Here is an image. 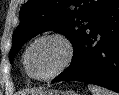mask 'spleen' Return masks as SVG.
I'll list each match as a JSON object with an SVG mask.
<instances>
[{"label":"spleen","mask_w":119,"mask_h":95,"mask_svg":"<svg viewBox=\"0 0 119 95\" xmlns=\"http://www.w3.org/2000/svg\"><path fill=\"white\" fill-rule=\"evenodd\" d=\"M88 88L91 91L92 95H119L110 90L104 89L99 86L91 85V84L88 85Z\"/></svg>","instance_id":"1"}]
</instances>
